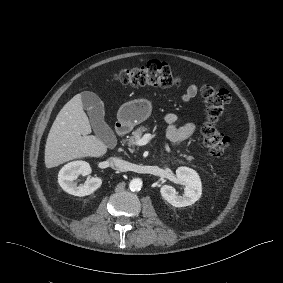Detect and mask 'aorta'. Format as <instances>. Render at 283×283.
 <instances>
[{
  "label": "aorta",
  "instance_id": "aorta-1",
  "mask_svg": "<svg viewBox=\"0 0 283 283\" xmlns=\"http://www.w3.org/2000/svg\"><path fill=\"white\" fill-rule=\"evenodd\" d=\"M142 180L140 178H134L129 183V188L131 191H138L142 187Z\"/></svg>",
  "mask_w": 283,
  "mask_h": 283
}]
</instances>
